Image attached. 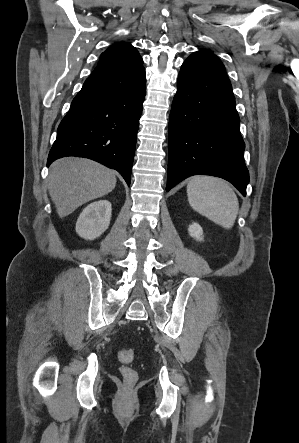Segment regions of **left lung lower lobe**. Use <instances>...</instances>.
I'll use <instances>...</instances> for the list:
<instances>
[{
	"label": "left lung lower lobe",
	"instance_id": "obj_1",
	"mask_svg": "<svg viewBox=\"0 0 299 443\" xmlns=\"http://www.w3.org/2000/svg\"><path fill=\"white\" fill-rule=\"evenodd\" d=\"M239 123L230 81L183 64L169 120L166 191L189 176L211 175L246 196L249 172Z\"/></svg>",
	"mask_w": 299,
	"mask_h": 443
}]
</instances>
